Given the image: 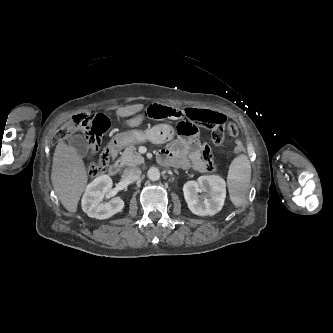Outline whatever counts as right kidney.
I'll return each instance as SVG.
<instances>
[{
	"mask_svg": "<svg viewBox=\"0 0 333 333\" xmlns=\"http://www.w3.org/2000/svg\"><path fill=\"white\" fill-rule=\"evenodd\" d=\"M112 188V179L108 175L95 178L86 187L82 197V209L91 218L107 219L122 211L124 201L120 197L108 203H101L105 194Z\"/></svg>",
	"mask_w": 333,
	"mask_h": 333,
	"instance_id": "right-kidney-1",
	"label": "right kidney"
}]
</instances>
